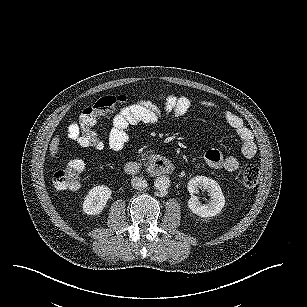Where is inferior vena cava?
I'll use <instances>...</instances> for the list:
<instances>
[{
    "instance_id": "obj_1",
    "label": "inferior vena cava",
    "mask_w": 307,
    "mask_h": 307,
    "mask_svg": "<svg viewBox=\"0 0 307 307\" xmlns=\"http://www.w3.org/2000/svg\"><path fill=\"white\" fill-rule=\"evenodd\" d=\"M131 186L136 190H143L147 187V181L142 176H135L131 179Z\"/></svg>"
}]
</instances>
